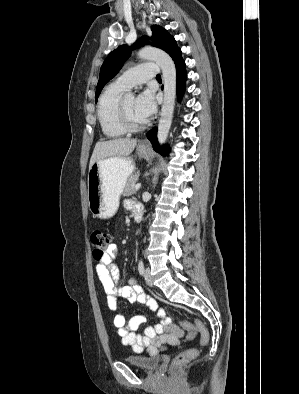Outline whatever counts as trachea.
Segmentation results:
<instances>
[{"mask_svg": "<svg viewBox=\"0 0 299 394\" xmlns=\"http://www.w3.org/2000/svg\"><path fill=\"white\" fill-rule=\"evenodd\" d=\"M156 79H161V75L158 74V75L156 76Z\"/></svg>", "mask_w": 299, "mask_h": 394, "instance_id": "obj_1", "label": "trachea"}]
</instances>
